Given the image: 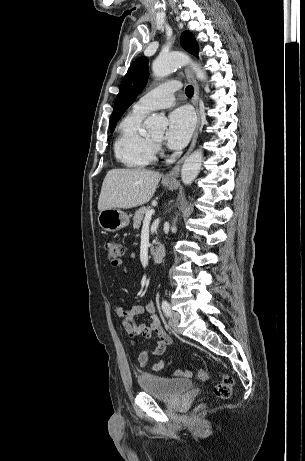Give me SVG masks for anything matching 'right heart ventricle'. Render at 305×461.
I'll return each instance as SVG.
<instances>
[{"label":"right heart ventricle","mask_w":305,"mask_h":461,"mask_svg":"<svg viewBox=\"0 0 305 461\" xmlns=\"http://www.w3.org/2000/svg\"><path fill=\"white\" fill-rule=\"evenodd\" d=\"M144 116V113L132 110L119 124L115 156L128 168H144L155 160L156 148L143 129Z\"/></svg>","instance_id":"1"}]
</instances>
